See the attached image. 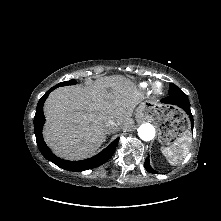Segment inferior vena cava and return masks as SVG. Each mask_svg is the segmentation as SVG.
Here are the masks:
<instances>
[{"instance_id":"602c4592","label":"inferior vena cava","mask_w":221,"mask_h":221,"mask_svg":"<svg viewBox=\"0 0 221 221\" xmlns=\"http://www.w3.org/2000/svg\"><path fill=\"white\" fill-rule=\"evenodd\" d=\"M119 129V126L112 120H109L105 123V130L107 133H113L118 131Z\"/></svg>"}]
</instances>
